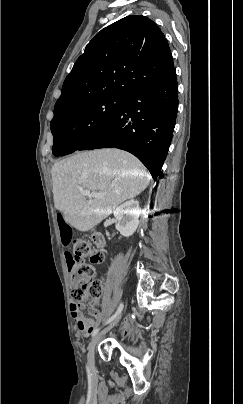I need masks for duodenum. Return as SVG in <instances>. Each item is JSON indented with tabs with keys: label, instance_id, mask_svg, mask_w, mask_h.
Wrapping results in <instances>:
<instances>
[{
	"label": "duodenum",
	"instance_id": "410a0bca",
	"mask_svg": "<svg viewBox=\"0 0 243 404\" xmlns=\"http://www.w3.org/2000/svg\"><path fill=\"white\" fill-rule=\"evenodd\" d=\"M92 238L99 247H103L104 239L100 233L94 232Z\"/></svg>",
	"mask_w": 243,
	"mask_h": 404
}]
</instances>
